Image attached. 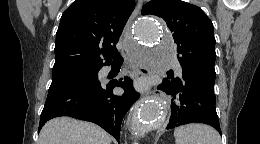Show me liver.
I'll return each mask as SVG.
<instances>
[{
	"mask_svg": "<svg viewBox=\"0 0 260 144\" xmlns=\"http://www.w3.org/2000/svg\"><path fill=\"white\" fill-rule=\"evenodd\" d=\"M111 141V136L93 123L57 117L43 126L38 144H111Z\"/></svg>",
	"mask_w": 260,
	"mask_h": 144,
	"instance_id": "liver-1",
	"label": "liver"
}]
</instances>
